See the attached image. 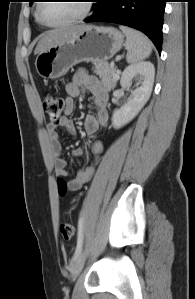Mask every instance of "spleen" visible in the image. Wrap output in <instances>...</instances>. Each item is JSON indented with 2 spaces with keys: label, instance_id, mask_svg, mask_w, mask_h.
I'll list each match as a JSON object with an SVG mask.
<instances>
[{
  "label": "spleen",
  "instance_id": "3e777b00",
  "mask_svg": "<svg viewBox=\"0 0 195 299\" xmlns=\"http://www.w3.org/2000/svg\"><path fill=\"white\" fill-rule=\"evenodd\" d=\"M120 29L126 35L128 63L134 64L149 57L152 52V43L144 34L125 26H120Z\"/></svg>",
  "mask_w": 195,
  "mask_h": 299
}]
</instances>
